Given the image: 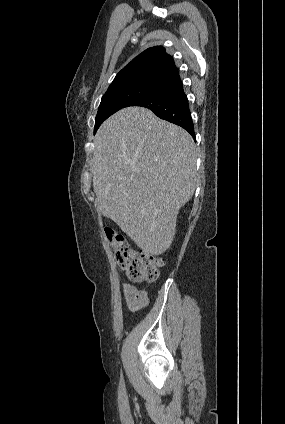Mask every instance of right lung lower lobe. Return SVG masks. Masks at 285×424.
Returning <instances> with one entry per match:
<instances>
[{"label": "right lung lower lobe", "mask_w": 285, "mask_h": 424, "mask_svg": "<svg viewBox=\"0 0 285 424\" xmlns=\"http://www.w3.org/2000/svg\"><path fill=\"white\" fill-rule=\"evenodd\" d=\"M129 106H141L150 109L159 118L184 128L195 140L188 99L184 93L180 77L164 84L155 92L134 100Z\"/></svg>", "instance_id": "right-lung-lower-lobe-1"}]
</instances>
